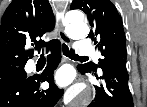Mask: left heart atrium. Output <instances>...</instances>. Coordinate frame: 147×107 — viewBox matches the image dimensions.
<instances>
[{"mask_svg":"<svg viewBox=\"0 0 147 107\" xmlns=\"http://www.w3.org/2000/svg\"><path fill=\"white\" fill-rule=\"evenodd\" d=\"M72 80V73L68 68L61 69L57 74V81L61 85H66Z\"/></svg>","mask_w":147,"mask_h":107,"instance_id":"39dd6f15","label":"left heart atrium"}]
</instances>
